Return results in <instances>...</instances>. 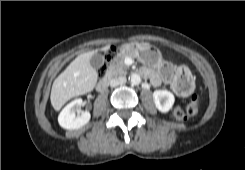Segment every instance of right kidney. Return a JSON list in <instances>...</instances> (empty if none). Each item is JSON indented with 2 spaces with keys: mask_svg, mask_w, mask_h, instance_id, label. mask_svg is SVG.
I'll list each match as a JSON object with an SVG mask.
<instances>
[{
  "mask_svg": "<svg viewBox=\"0 0 245 170\" xmlns=\"http://www.w3.org/2000/svg\"><path fill=\"white\" fill-rule=\"evenodd\" d=\"M83 105L81 98L75 99L67 104L58 116L59 125L67 130L78 129L87 124L91 118L88 111L76 115V109Z\"/></svg>",
  "mask_w": 245,
  "mask_h": 170,
  "instance_id": "ca27d5eb",
  "label": "right kidney"
}]
</instances>
